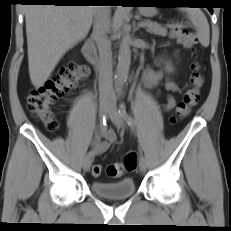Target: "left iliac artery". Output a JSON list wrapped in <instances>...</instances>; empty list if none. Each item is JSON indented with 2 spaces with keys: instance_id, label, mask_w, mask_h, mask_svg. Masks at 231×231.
Returning a JSON list of instances; mask_svg holds the SVG:
<instances>
[{
  "instance_id": "left-iliac-artery-1",
  "label": "left iliac artery",
  "mask_w": 231,
  "mask_h": 231,
  "mask_svg": "<svg viewBox=\"0 0 231 231\" xmlns=\"http://www.w3.org/2000/svg\"><path fill=\"white\" fill-rule=\"evenodd\" d=\"M121 91H119V95H121ZM119 114L123 117V119L126 121L127 125L130 127H134L135 122L134 120L128 115L126 111V105L123 101L120 102L119 106Z\"/></svg>"
}]
</instances>
